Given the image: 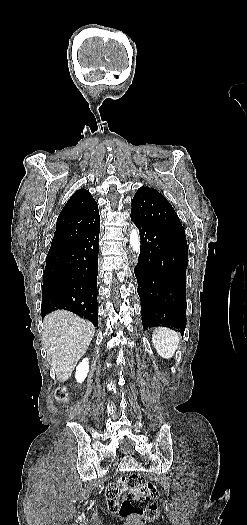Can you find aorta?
Instances as JSON below:
<instances>
[{
    "label": "aorta",
    "instance_id": "obj_1",
    "mask_svg": "<svg viewBox=\"0 0 247 525\" xmlns=\"http://www.w3.org/2000/svg\"><path fill=\"white\" fill-rule=\"evenodd\" d=\"M130 246L137 254L140 252V235L137 228L130 231Z\"/></svg>",
    "mask_w": 247,
    "mask_h": 525
}]
</instances>
